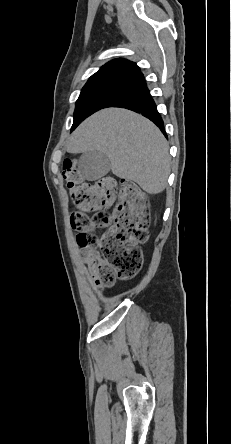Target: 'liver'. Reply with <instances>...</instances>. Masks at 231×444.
<instances>
[{"label": "liver", "mask_w": 231, "mask_h": 444, "mask_svg": "<svg viewBox=\"0 0 231 444\" xmlns=\"http://www.w3.org/2000/svg\"><path fill=\"white\" fill-rule=\"evenodd\" d=\"M67 151L105 154L115 176L136 182L149 194L166 188L170 174L168 143L150 120L130 110L96 112L74 131Z\"/></svg>", "instance_id": "6515ba94"}]
</instances>
